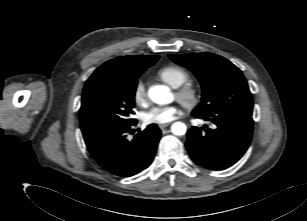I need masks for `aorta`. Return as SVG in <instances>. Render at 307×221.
Listing matches in <instances>:
<instances>
[{"label":"aorta","instance_id":"obj_1","mask_svg":"<svg viewBox=\"0 0 307 221\" xmlns=\"http://www.w3.org/2000/svg\"><path fill=\"white\" fill-rule=\"evenodd\" d=\"M149 98L158 105H166L172 102L173 95L170 89L164 85H154L148 90ZM187 127L182 122H175L171 126V132L176 136H181L186 133Z\"/></svg>","mask_w":307,"mask_h":221}]
</instances>
